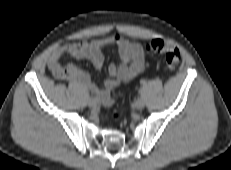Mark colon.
Wrapping results in <instances>:
<instances>
[{
    "label": "colon",
    "mask_w": 231,
    "mask_h": 170,
    "mask_svg": "<svg viewBox=\"0 0 231 170\" xmlns=\"http://www.w3.org/2000/svg\"><path fill=\"white\" fill-rule=\"evenodd\" d=\"M146 50L150 53L161 54L164 56L165 61L169 70L174 71L181 59V55L179 50L165 42L161 39H152L146 44ZM74 71L73 66H59L53 70V74L59 79L68 78L72 72ZM122 116V112L118 111L114 114V118H120Z\"/></svg>",
    "instance_id": "obj_1"
}]
</instances>
